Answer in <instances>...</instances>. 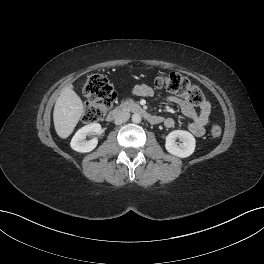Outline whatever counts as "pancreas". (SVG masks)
Wrapping results in <instances>:
<instances>
[{"instance_id":"cf45deb5","label":"pancreas","mask_w":264,"mask_h":264,"mask_svg":"<svg viewBox=\"0 0 264 264\" xmlns=\"http://www.w3.org/2000/svg\"><path fill=\"white\" fill-rule=\"evenodd\" d=\"M131 100H129V101H126L125 103H128V102H130Z\"/></svg>"}]
</instances>
